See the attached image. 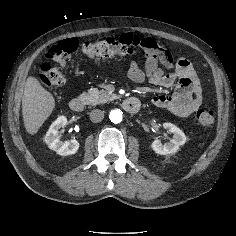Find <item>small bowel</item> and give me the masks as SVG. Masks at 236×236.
<instances>
[{"instance_id":"small-bowel-1","label":"small bowel","mask_w":236,"mask_h":236,"mask_svg":"<svg viewBox=\"0 0 236 236\" xmlns=\"http://www.w3.org/2000/svg\"><path fill=\"white\" fill-rule=\"evenodd\" d=\"M120 40L150 52L145 62V70L135 61L130 63L128 76L133 82L142 83L148 80L153 85L166 88L176 85L172 95L155 96L152 100L155 106L167 109L180 117H187L199 109L202 104V89L189 60H174L169 51L159 47L151 38H141L128 33ZM159 63L163 68L159 67Z\"/></svg>"}]
</instances>
